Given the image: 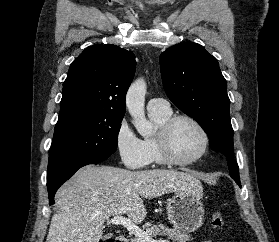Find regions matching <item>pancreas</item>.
<instances>
[{
  "instance_id": "cf45deb5",
  "label": "pancreas",
  "mask_w": 279,
  "mask_h": 242,
  "mask_svg": "<svg viewBox=\"0 0 279 242\" xmlns=\"http://www.w3.org/2000/svg\"><path fill=\"white\" fill-rule=\"evenodd\" d=\"M149 236L155 238L157 236L167 237L172 242H187L190 241L191 236L179 229L169 228L163 224H156L146 230ZM131 242H141L139 238L131 239Z\"/></svg>"
}]
</instances>
